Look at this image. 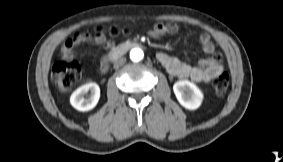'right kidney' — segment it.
Returning a JSON list of instances; mask_svg holds the SVG:
<instances>
[{"mask_svg":"<svg viewBox=\"0 0 283 162\" xmlns=\"http://www.w3.org/2000/svg\"><path fill=\"white\" fill-rule=\"evenodd\" d=\"M90 92V94H88ZM100 98V88L94 83H87L75 90L71 97V105L78 111H89L93 109Z\"/></svg>","mask_w":283,"mask_h":162,"instance_id":"1","label":"right kidney"}]
</instances>
